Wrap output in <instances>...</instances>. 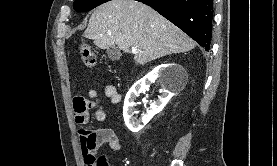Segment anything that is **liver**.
Returning a JSON list of instances; mask_svg holds the SVG:
<instances>
[{
    "label": "liver",
    "mask_w": 277,
    "mask_h": 166,
    "mask_svg": "<svg viewBox=\"0 0 277 166\" xmlns=\"http://www.w3.org/2000/svg\"><path fill=\"white\" fill-rule=\"evenodd\" d=\"M100 49L117 45L125 53L138 50L140 65L192 50L195 42L151 7L135 0H111L98 6L84 32Z\"/></svg>",
    "instance_id": "1"
}]
</instances>
